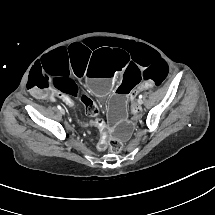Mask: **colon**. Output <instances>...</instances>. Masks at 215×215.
Here are the masks:
<instances>
[{
	"label": "colon",
	"mask_w": 215,
	"mask_h": 215,
	"mask_svg": "<svg viewBox=\"0 0 215 215\" xmlns=\"http://www.w3.org/2000/svg\"><path fill=\"white\" fill-rule=\"evenodd\" d=\"M85 113L89 116H97L100 113L98 105L92 100L84 101ZM112 151H119L121 149V144L117 140H112L109 144Z\"/></svg>",
	"instance_id": "5ec220e1"
}]
</instances>
